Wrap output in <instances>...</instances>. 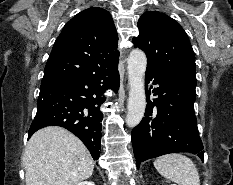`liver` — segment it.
I'll return each mask as SVG.
<instances>
[{"label":"liver","mask_w":233,"mask_h":185,"mask_svg":"<svg viewBox=\"0 0 233 185\" xmlns=\"http://www.w3.org/2000/svg\"><path fill=\"white\" fill-rule=\"evenodd\" d=\"M23 166L26 185H77L92 175L94 161L75 135L49 126L29 139Z\"/></svg>","instance_id":"obj_1"}]
</instances>
